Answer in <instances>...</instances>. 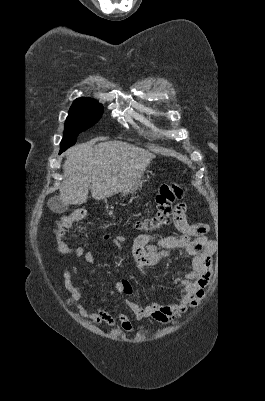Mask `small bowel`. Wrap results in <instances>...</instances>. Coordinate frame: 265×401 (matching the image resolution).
<instances>
[{"label":"small bowel","instance_id":"c3829d8e","mask_svg":"<svg viewBox=\"0 0 265 401\" xmlns=\"http://www.w3.org/2000/svg\"><path fill=\"white\" fill-rule=\"evenodd\" d=\"M188 205L184 202L177 204L173 210V224L180 235L152 236L142 234L137 236L131 246V253L136 262L139 272L145 275V269L154 266L164 260L174 257H190L188 271H177L172 278L174 284L179 286V295L175 303L168 306L156 302L145 306L138 305L129 296L133 293L132 286L127 280L115 283L112 294L125 295V304L131 310L136 320L153 318L154 320L167 323L186 313L195 307L204 294V287L209 281L212 269L214 245L207 238L210 229L208 224H190L186 217ZM125 234L102 236L103 241L111 242L119 250L123 249L126 241ZM76 258L84 257L89 263H95L96 259L89 246H79L74 250ZM78 268L69 264L63 272L64 286L76 302H80L85 293L80 284L73 283V276L77 275ZM82 314L89 322L95 325L105 324L113 327L118 321L120 327L127 333L133 334L142 327L133 326L130 318L124 312L119 311L117 316L97 308L88 311L80 305Z\"/></svg>","mask_w":265,"mask_h":401}]
</instances>
